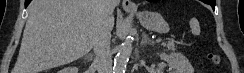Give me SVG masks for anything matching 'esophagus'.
I'll use <instances>...</instances> for the list:
<instances>
[{"label": "esophagus", "instance_id": "esophagus-1", "mask_svg": "<svg viewBox=\"0 0 244 73\" xmlns=\"http://www.w3.org/2000/svg\"><path fill=\"white\" fill-rule=\"evenodd\" d=\"M122 7L124 10H136V6L130 0H123Z\"/></svg>", "mask_w": 244, "mask_h": 73}]
</instances>
